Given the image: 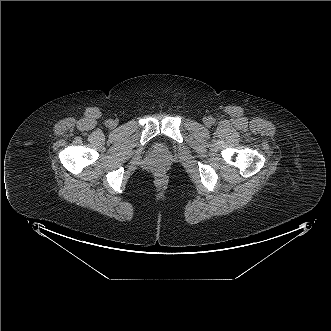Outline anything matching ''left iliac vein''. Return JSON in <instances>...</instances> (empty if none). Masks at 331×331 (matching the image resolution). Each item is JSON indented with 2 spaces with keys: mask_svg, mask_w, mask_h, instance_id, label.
<instances>
[{
  "mask_svg": "<svg viewBox=\"0 0 331 331\" xmlns=\"http://www.w3.org/2000/svg\"><path fill=\"white\" fill-rule=\"evenodd\" d=\"M204 124H205L206 126H210L211 121H210L209 119H205V120H204Z\"/></svg>",
  "mask_w": 331,
  "mask_h": 331,
  "instance_id": "left-iliac-vein-1",
  "label": "left iliac vein"
}]
</instances>
